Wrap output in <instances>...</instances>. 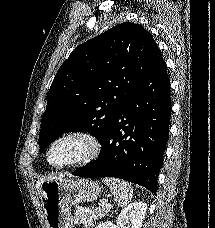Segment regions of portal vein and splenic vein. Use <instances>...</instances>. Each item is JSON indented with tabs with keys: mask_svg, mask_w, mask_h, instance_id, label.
I'll use <instances>...</instances> for the list:
<instances>
[{
	"mask_svg": "<svg viewBox=\"0 0 215 228\" xmlns=\"http://www.w3.org/2000/svg\"><path fill=\"white\" fill-rule=\"evenodd\" d=\"M102 208H106V210H111L113 208L112 204H103Z\"/></svg>",
	"mask_w": 215,
	"mask_h": 228,
	"instance_id": "obj_1",
	"label": "portal vein and splenic vein"
}]
</instances>
